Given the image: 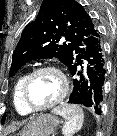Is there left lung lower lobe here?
<instances>
[{
	"instance_id": "1",
	"label": "left lung lower lobe",
	"mask_w": 117,
	"mask_h": 136,
	"mask_svg": "<svg viewBox=\"0 0 117 136\" xmlns=\"http://www.w3.org/2000/svg\"><path fill=\"white\" fill-rule=\"evenodd\" d=\"M73 76V91L68 103L81 104L101 114L106 74V54L101 34L92 35L69 69Z\"/></svg>"
}]
</instances>
